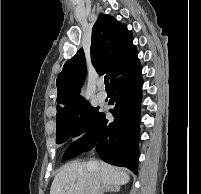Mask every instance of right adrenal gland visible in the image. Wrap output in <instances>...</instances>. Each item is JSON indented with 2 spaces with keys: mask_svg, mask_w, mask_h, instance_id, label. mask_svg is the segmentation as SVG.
Returning <instances> with one entry per match:
<instances>
[{
  "mask_svg": "<svg viewBox=\"0 0 201 194\" xmlns=\"http://www.w3.org/2000/svg\"><path fill=\"white\" fill-rule=\"evenodd\" d=\"M120 190L119 186H105L102 185L100 190H99V194H104L105 192H118Z\"/></svg>",
  "mask_w": 201,
  "mask_h": 194,
  "instance_id": "1",
  "label": "right adrenal gland"
}]
</instances>
